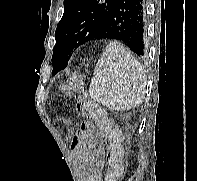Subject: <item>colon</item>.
I'll list each match as a JSON object with an SVG mask.
<instances>
[{
	"instance_id": "colon-1",
	"label": "colon",
	"mask_w": 197,
	"mask_h": 181,
	"mask_svg": "<svg viewBox=\"0 0 197 181\" xmlns=\"http://www.w3.org/2000/svg\"><path fill=\"white\" fill-rule=\"evenodd\" d=\"M60 89L65 95L76 98L79 113L86 120L95 122L98 131L105 137L107 147L105 181H118L124 170L120 128L113 125L105 111L88 97L79 74L69 75L66 82L60 85Z\"/></svg>"
}]
</instances>
